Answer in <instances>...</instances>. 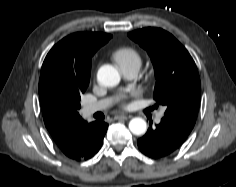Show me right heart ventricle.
<instances>
[{"label": "right heart ventricle", "mask_w": 236, "mask_h": 187, "mask_svg": "<svg viewBox=\"0 0 236 187\" xmlns=\"http://www.w3.org/2000/svg\"><path fill=\"white\" fill-rule=\"evenodd\" d=\"M112 58L122 72L135 69L139 70L142 65L140 53L132 47H120L113 51Z\"/></svg>", "instance_id": "e07e8e85"}]
</instances>
